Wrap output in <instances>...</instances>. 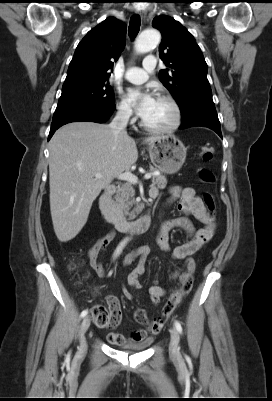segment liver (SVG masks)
Masks as SVG:
<instances>
[{"instance_id":"liver-1","label":"liver","mask_w":272,"mask_h":401,"mask_svg":"<svg viewBox=\"0 0 272 401\" xmlns=\"http://www.w3.org/2000/svg\"><path fill=\"white\" fill-rule=\"evenodd\" d=\"M158 137L143 142L153 143ZM50 211L55 234L67 242L81 231L101 190L138 159L131 137H115L109 125L73 122L49 143ZM101 174V178L95 175Z\"/></svg>"}]
</instances>
